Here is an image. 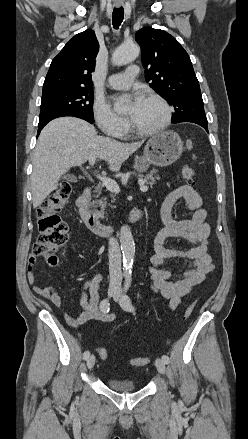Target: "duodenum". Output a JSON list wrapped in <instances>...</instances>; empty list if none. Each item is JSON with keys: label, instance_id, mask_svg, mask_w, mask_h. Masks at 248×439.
I'll return each mask as SVG.
<instances>
[{"label": "duodenum", "instance_id": "obj_1", "mask_svg": "<svg viewBox=\"0 0 248 439\" xmlns=\"http://www.w3.org/2000/svg\"><path fill=\"white\" fill-rule=\"evenodd\" d=\"M92 194L93 187L89 185L84 188L77 199V207L81 219L91 232L99 235H111L117 230L119 225L101 222V209L98 205L91 202ZM143 216V209L134 208L129 213L126 222L129 224L135 223Z\"/></svg>", "mask_w": 248, "mask_h": 439}]
</instances>
